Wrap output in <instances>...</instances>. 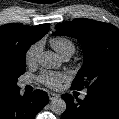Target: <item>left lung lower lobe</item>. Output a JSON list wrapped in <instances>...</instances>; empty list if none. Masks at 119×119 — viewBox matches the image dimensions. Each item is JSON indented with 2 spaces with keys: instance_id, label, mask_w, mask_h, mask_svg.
<instances>
[{
  "instance_id": "left-lung-lower-lobe-1",
  "label": "left lung lower lobe",
  "mask_w": 119,
  "mask_h": 119,
  "mask_svg": "<svg viewBox=\"0 0 119 119\" xmlns=\"http://www.w3.org/2000/svg\"><path fill=\"white\" fill-rule=\"evenodd\" d=\"M66 110L61 119H119V94L88 91L84 100L62 95Z\"/></svg>"
}]
</instances>
